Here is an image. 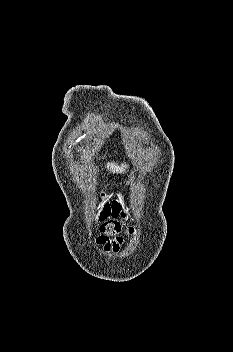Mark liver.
<instances>
[{
	"label": "liver",
	"instance_id": "6515ba94",
	"mask_svg": "<svg viewBox=\"0 0 233 352\" xmlns=\"http://www.w3.org/2000/svg\"><path fill=\"white\" fill-rule=\"evenodd\" d=\"M107 168L112 171L113 173H122L125 171V169L128 168V166L126 164H121L120 166H118L117 164L115 163H108L107 164Z\"/></svg>",
	"mask_w": 233,
	"mask_h": 352
}]
</instances>
